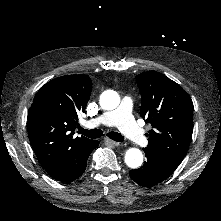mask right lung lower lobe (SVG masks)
<instances>
[{
	"label": "right lung lower lobe",
	"mask_w": 221,
	"mask_h": 221,
	"mask_svg": "<svg viewBox=\"0 0 221 221\" xmlns=\"http://www.w3.org/2000/svg\"><path fill=\"white\" fill-rule=\"evenodd\" d=\"M99 142L97 140H93L92 143L84 148L80 154L76 156V158L70 162L59 174L51 176L54 179L62 182H71L77 178H79L83 172L85 171L87 165V159L89 154L98 147Z\"/></svg>",
	"instance_id": "98d812e1"
}]
</instances>
